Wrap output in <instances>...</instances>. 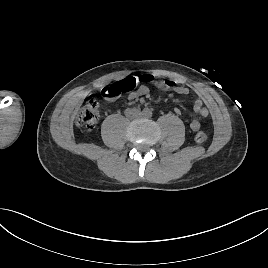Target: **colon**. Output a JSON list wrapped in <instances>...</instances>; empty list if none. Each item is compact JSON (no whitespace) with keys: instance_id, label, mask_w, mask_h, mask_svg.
<instances>
[{"instance_id":"1","label":"colon","mask_w":268,"mask_h":268,"mask_svg":"<svg viewBox=\"0 0 268 268\" xmlns=\"http://www.w3.org/2000/svg\"><path fill=\"white\" fill-rule=\"evenodd\" d=\"M153 77L150 75H141L138 77H127L115 82L101 90V96L107 100H114L121 94L132 91L138 83H150ZM165 85L170 86V81H165ZM100 117V101L95 95L89 96L86 104L81 107L76 114L77 125L92 129L96 126ZM207 139V135L203 131H199L195 135L197 143H203Z\"/></svg>"}]
</instances>
